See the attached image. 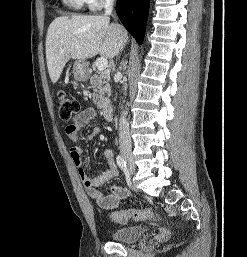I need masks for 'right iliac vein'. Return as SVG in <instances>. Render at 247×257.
Instances as JSON below:
<instances>
[{
	"label": "right iliac vein",
	"instance_id": "obj_1",
	"mask_svg": "<svg viewBox=\"0 0 247 257\" xmlns=\"http://www.w3.org/2000/svg\"><path fill=\"white\" fill-rule=\"evenodd\" d=\"M121 153H122L123 159L127 163L130 174H133L135 172V165H134L133 156H132L130 150L122 149Z\"/></svg>",
	"mask_w": 247,
	"mask_h": 257
}]
</instances>
